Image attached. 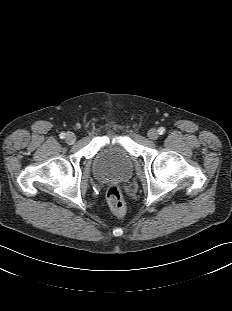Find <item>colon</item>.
<instances>
[{
	"instance_id": "colon-1",
	"label": "colon",
	"mask_w": 232,
	"mask_h": 311,
	"mask_svg": "<svg viewBox=\"0 0 232 311\" xmlns=\"http://www.w3.org/2000/svg\"><path fill=\"white\" fill-rule=\"evenodd\" d=\"M106 199L113 214L117 216L124 214L126 208L125 202L118 185L112 184L108 186L106 190Z\"/></svg>"
}]
</instances>
